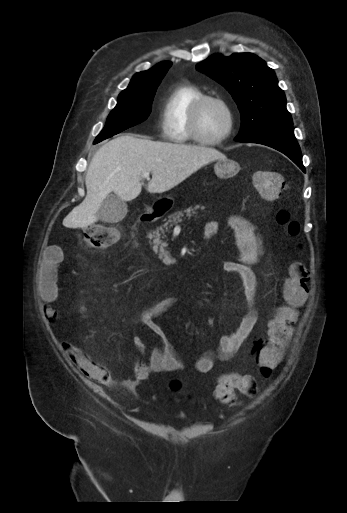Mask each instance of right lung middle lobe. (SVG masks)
<instances>
[{
  "label": "right lung middle lobe",
  "mask_w": 347,
  "mask_h": 513,
  "mask_svg": "<svg viewBox=\"0 0 347 513\" xmlns=\"http://www.w3.org/2000/svg\"><path fill=\"white\" fill-rule=\"evenodd\" d=\"M160 81L141 88L122 91L118 103L110 113L106 125L94 144L144 121L151 112L152 101Z\"/></svg>",
  "instance_id": "dd1d6c3e"
}]
</instances>
